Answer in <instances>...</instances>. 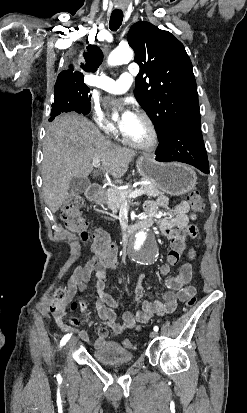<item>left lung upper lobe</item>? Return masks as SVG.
Masks as SVG:
<instances>
[{
	"label": "left lung upper lobe",
	"mask_w": 247,
	"mask_h": 413,
	"mask_svg": "<svg viewBox=\"0 0 247 413\" xmlns=\"http://www.w3.org/2000/svg\"><path fill=\"white\" fill-rule=\"evenodd\" d=\"M127 40L140 66L134 94L158 138L177 126L201 128L197 85L183 44L144 21L132 25Z\"/></svg>",
	"instance_id": "1"
}]
</instances>
